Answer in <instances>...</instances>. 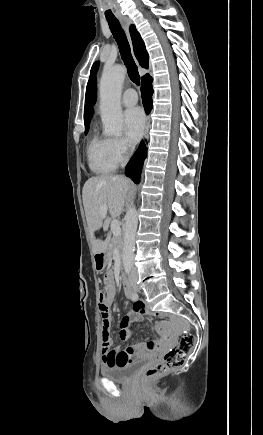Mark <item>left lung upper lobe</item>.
Here are the masks:
<instances>
[{"label": "left lung upper lobe", "instance_id": "1", "mask_svg": "<svg viewBox=\"0 0 263 435\" xmlns=\"http://www.w3.org/2000/svg\"><path fill=\"white\" fill-rule=\"evenodd\" d=\"M98 66H99V62H95L93 64L92 68H91L90 78H89V81H88V84H87V89H86V98H85L86 100L89 97L90 87H91V84H92V80H93L94 75H95V73H96V71L98 69Z\"/></svg>", "mask_w": 263, "mask_h": 435}]
</instances>
